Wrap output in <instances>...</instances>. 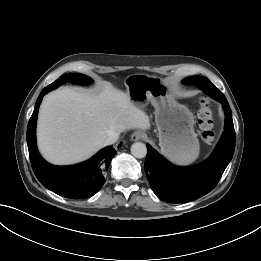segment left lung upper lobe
I'll list each match as a JSON object with an SVG mask.
<instances>
[{
    "label": "left lung upper lobe",
    "instance_id": "obj_1",
    "mask_svg": "<svg viewBox=\"0 0 261 261\" xmlns=\"http://www.w3.org/2000/svg\"><path fill=\"white\" fill-rule=\"evenodd\" d=\"M199 77H202V76H192V77H188L186 79L183 80L184 83H188V84H192V83H195L196 82L194 81L196 78H199Z\"/></svg>",
    "mask_w": 261,
    "mask_h": 261
}]
</instances>
